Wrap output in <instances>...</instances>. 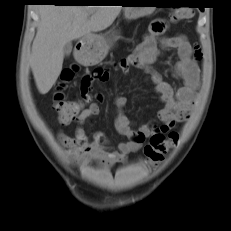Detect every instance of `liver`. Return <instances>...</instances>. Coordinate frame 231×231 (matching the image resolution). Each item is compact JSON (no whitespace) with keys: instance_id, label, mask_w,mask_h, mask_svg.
Here are the masks:
<instances>
[{"instance_id":"obj_1","label":"liver","mask_w":231,"mask_h":231,"mask_svg":"<svg viewBox=\"0 0 231 231\" xmlns=\"http://www.w3.org/2000/svg\"><path fill=\"white\" fill-rule=\"evenodd\" d=\"M121 8L85 5L39 7L40 22L32 45L31 68L41 94L49 92L61 73L64 45L108 28Z\"/></svg>"}]
</instances>
